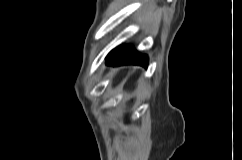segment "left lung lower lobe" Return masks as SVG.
I'll return each instance as SVG.
<instances>
[{"instance_id":"0a47b994","label":"left lung lower lobe","mask_w":242,"mask_h":160,"mask_svg":"<svg viewBox=\"0 0 242 160\" xmlns=\"http://www.w3.org/2000/svg\"><path fill=\"white\" fill-rule=\"evenodd\" d=\"M106 64L112 66L119 65H140L147 67L148 57L145 54L138 53L130 46L122 45L113 49L105 59Z\"/></svg>"}]
</instances>
